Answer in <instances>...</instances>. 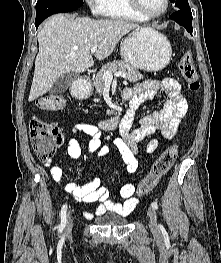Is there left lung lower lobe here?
<instances>
[{
  "label": "left lung lower lobe",
  "instance_id": "obj_1",
  "mask_svg": "<svg viewBox=\"0 0 221 263\" xmlns=\"http://www.w3.org/2000/svg\"><path fill=\"white\" fill-rule=\"evenodd\" d=\"M170 19L176 21L179 25L192 34V13L190 7L181 8L179 11L174 12L169 16Z\"/></svg>",
  "mask_w": 221,
  "mask_h": 263
}]
</instances>
